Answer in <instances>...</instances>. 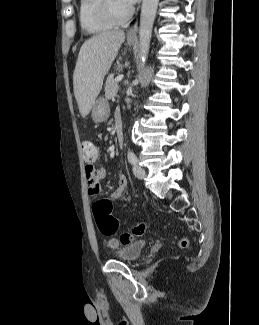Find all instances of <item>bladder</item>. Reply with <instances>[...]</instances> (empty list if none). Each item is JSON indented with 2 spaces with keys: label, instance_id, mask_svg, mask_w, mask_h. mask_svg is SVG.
Segmentation results:
<instances>
[{
  "label": "bladder",
  "instance_id": "bladder-1",
  "mask_svg": "<svg viewBox=\"0 0 259 325\" xmlns=\"http://www.w3.org/2000/svg\"><path fill=\"white\" fill-rule=\"evenodd\" d=\"M145 247L146 241H135L119 248L115 252V257L125 262H133L141 256Z\"/></svg>",
  "mask_w": 259,
  "mask_h": 325
}]
</instances>
